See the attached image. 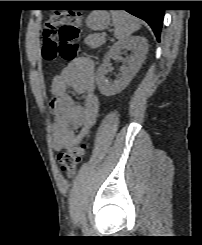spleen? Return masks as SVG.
Masks as SVG:
<instances>
[{
  "mask_svg": "<svg viewBox=\"0 0 202 245\" xmlns=\"http://www.w3.org/2000/svg\"><path fill=\"white\" fill-rule=\"evenodd\" d=\"M111 15L115 27L114 36L120 41L128 39L141 27L139 21L126 11H111Z\"/></svg>",
  "mask_w": 202,
  "mask_h": 245,
  "instance_id": "spleen-1",
  "label": "spleen"
}]
</instances>
